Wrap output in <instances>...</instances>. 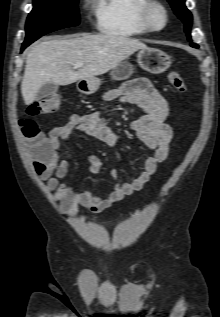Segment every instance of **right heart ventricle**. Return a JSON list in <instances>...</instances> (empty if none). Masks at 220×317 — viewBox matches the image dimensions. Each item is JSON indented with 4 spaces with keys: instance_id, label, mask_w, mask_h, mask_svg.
Returning a JSON list of instances; mask_svg holds the SVG:
<instances>
[{
    "instance_id": "e07e8e85",
    "label": "right heart ventricle",
    "mask_w": 220,
    "mask_h": 317,
    "mask_svg": "<svg viewBox=\"0 0 220 317\" xmlns=\"http://www.w3.org/2000/svg\"><path fill=\"white\" fill-rule=\"evenodd\" d=\"M147 0H96L98 29L116 37L145 35L150 30L140 19V9Z\"/></svg>"
}]
</instances>
